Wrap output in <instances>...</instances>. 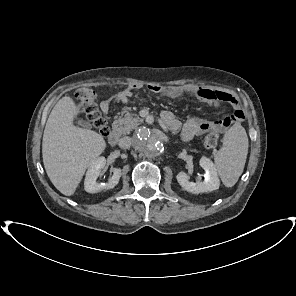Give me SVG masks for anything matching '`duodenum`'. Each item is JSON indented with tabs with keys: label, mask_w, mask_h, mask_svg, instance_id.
<instances>
[{
	"label": "duodenum",
	"mask_w": 296,
	"mask_h": 296,
	"mask_svg": "<svg viewBox=\"0 0 296 296\" xmlns=\"http://www.w3.org/2000/svg\"><path fill=\"white\" fill-rule=\"evenodd\" d=\"M120 137H121V134L119 129L117 127H113L109 133V137H108L109 143L113 146L116 145L119 142Z\"/></svg>",
	"instance_id": "obj_1"
}]
</instances>
